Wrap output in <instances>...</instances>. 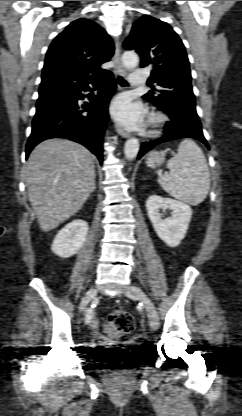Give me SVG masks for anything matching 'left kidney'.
Returning a JSON list of instances; mask_svg holds the SVG:
<instances>
[{"label":"left kidney","instance_id":"left-kidney-1","mask_svg":"<svg viewBox=\"0 0 242 416\" xmlns=\"http://www.w3.org/2000/svg\"><path fill=\"white\" fill-rule=\"evenodd\" d=\"M146 209L158 237L170 247L178 246L186 235L192 217L191 207L174 199L152 195L146 201ZM160 209L172 210L171 217L162 219Z\"/></svg>","mask_w":242,"mask_h":416}]
</instances>
